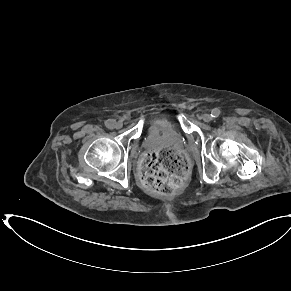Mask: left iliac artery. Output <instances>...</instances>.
Returning <instances> with one entry per match:
<instances>
[{
	"label": "left iliac artery",
	"mask_w": 291,
	"mask_h": 291,
	"mask_svg": "<svg viewBox=\"0 0 291 291\" xmlns=\"http://www.w3.org/2000/svg\"><path fill=\"white\" fill-rule=\"evenodd\" d=\"M220 115V110L219 109H213L212 112H211V116L213 118H217L218 116Z\"/></svg>",
	"instance_id": "left-iliac-artery-1"
}]
</instances>
